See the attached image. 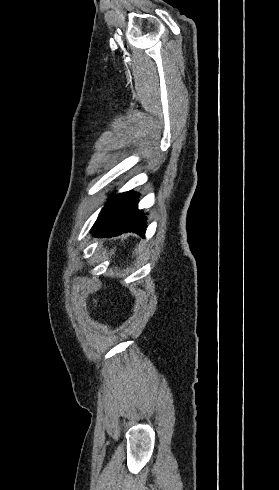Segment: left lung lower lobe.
<instances>
[{"label":"left lung lower lobe","mask_w":279,"mask_h":490,"mask_svg":"<svg viewBox=\"0 0 279 490\" xmlns=\"http://www.w3.org/2000/svg\"><path fill=\"white\" fill-rule=\"evenodd\" d=\"M139 194L129 191L117 195L114 209L92 228L97 237H112L124 232H135L144 237L147 217L137 209Z\"/></svg>","instance_id":"1"}]
</instances>
